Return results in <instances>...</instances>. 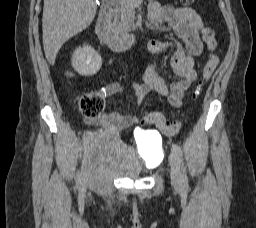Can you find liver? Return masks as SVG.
<instances>
[{
	"instance_id": "1",
	"label": "liver",
	"mask_w": 256,
	"mask_h": 228,
	"mask_svg": "<svg viewBox=\"0 0 256 228\" xmlns=\"http://www.w3.org/2000/svg\"><path fill=\"white\" fill-rule=\"evenodd\" d=\"M96 10L94 0H44L43 47L51 65L62 45L91 24Z\"/></svg>"
}]
</instances>
